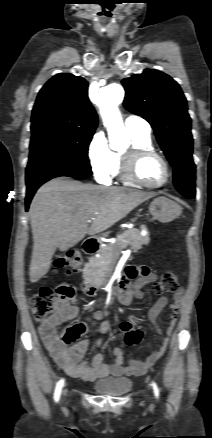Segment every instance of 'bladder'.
I'll use <instances>...</instances> for the list:
<instances>
[{"label":"bladder","mask_w":212,"mask_h":438,"mask_svg":"<svg viewBox=\"0 0 212 438\" xmlns=\"http://www.w3.org/2000/svg\"><path fill=\"white\" fill-rule=\"evenodd\" d=\"M93 389L102 395H123L130 391L131 381L127 378H102L94 383Z\"/></svg>","instance_id":"obj_1"}]
</instances>
